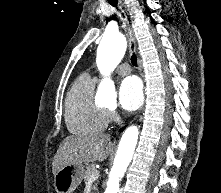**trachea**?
Wrapping results in <instances>:
<instances>
[{
	"label": "trachea",
	"instance_id": "obj_1",
	"mask_svg": "<svg viewBox=\"0 0 221 193\" xmlns=\"http://www.w3.org/2000/svg\"><path fill=\"white\" fill-rule=\"evenodd\" d=\"M108 2L110 3V5H112L117 10H119L118 7H117V0H108ZM122 15L124 17L123 13H122ZM132 47H133V45H132ZM131 63H132V65L137 66V57H136L135 54H132V56H131Z\"/></svg>",
	"mask_w": 221,
	"mask_h": 193
}]
</instances>
